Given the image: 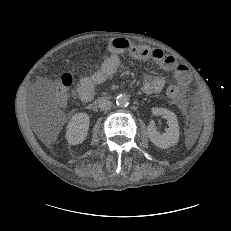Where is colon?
Wrapping results in <instances>:
<instances>
[{"label": "colon", "mask_w": 231, "mask_h": 231, "mask_svg": "<svg viewBox=\"0 0 231 231\" xmlns=\"http://www.w3.org/2000/svg\"><path fill=\"white\" fill-rule=\"evenodd\" d=\"M102 48L101 46L98 49ZM73 79L71 74L63 73L58 78L54 79L51 88V99L58 104L63 106L67 101V90L72 85ZM167 95L171 99H176L180 95V90L176 86H170L167 89Z\"/></svg>", "instance_id": "5ec220e1"}]
</instances>
